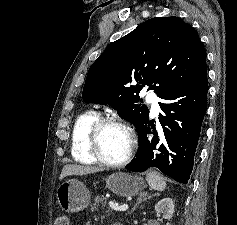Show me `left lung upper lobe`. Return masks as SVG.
Wrapping results in <instances>:
<instances>
[{
	"mask_svg": "<svg viewBox=\"0 0 237 225\" xmlns=\"http://www.w3.org/2000/svg\"><path fill=\"white\" fill-rule=\"evenodd\" d=\"M206 77L204 48L193 27L175 16L158 17L106 48L88 71L82 97L87 103L110 105L138 132L149 116L140 103L144 87L161 97Z\"/></svg>",
	"mask_w": 237,
	"mask_h": 225,
	"instance_id": "1",
	"label": "left lung upper lobe"
}]
</instances>
